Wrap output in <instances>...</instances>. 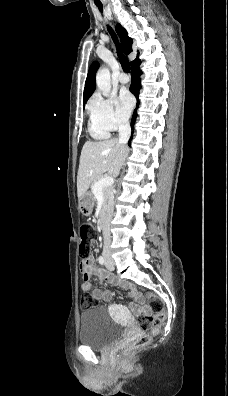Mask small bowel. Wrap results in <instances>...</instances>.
Instances as JSON below:
<instances>
[{
  "instance_id": "1",
  "label": "small bowel",
  "mask_w": 228,
  "mask_h": 396,
  "mask_svg": "<svg viewBox=\"0 0 228 396\" xmlns=\"http://www.w3.org/2000/svg\"><path fill=\"white\" fill-rule=\"evenodd\" d=\"M80 271L82 273L84 282L81 285V289L84 293H91L98 300L110 301L111 294L108 291H103L101 289H92V284L90 282L91 276H98L101 280L106 281L111 284H119L118 279L108 273L103 269L97 267L94 264L92 258H89L86 262H81ZM126 287L130 290L132 297L136 303H131L129 309L135 315H141L148 312L147 306L142 304V297L131 284H126Z\"/></svg>"
}]
</instances>
